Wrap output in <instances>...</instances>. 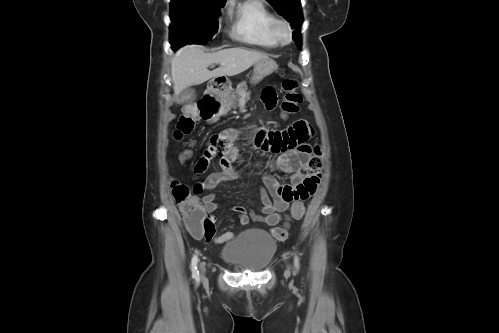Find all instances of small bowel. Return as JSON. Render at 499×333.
Returning <instances> with one entry per match:
<instances>
[{
  "label": "small bowel",
  "mask_w": 499,
  "mask_h": 333,
  "mask_svg": "<svg viewBox=\"0 0 499 333\" xmlns=\"http://www.w3.org/2000/svg\"><path fill=\"white\" fill-rule=\"evenodd\" d=\"M261 97L268 109L275 107L277 97L272 87L264 88ZM312 135L310 123L303 119L295 121L283 130L262 129L253 134L252 141L256 147L277 155L275 167L288 173L290 182L281 184L264 172L262 178L266 189H261L260 214L242 206L234 208L241 225H247L250 220H254L275 226L282 221V213L286 212L293 202H301L314 195L321 180L323 162L320 148L309 143ZM237 136L238 132L231 129L212 136L193 168L194 176L199 177L206 172L214 157L219 159L222 173H212L193 187L196 195L205 193L202 203L209 214L217 209L216 196L213 193L216 186L242 177L241 172L234 167V143ZM233 238L232 232H225L215 237L214 242L221 244Z\"/></svg>",
  "instance_id": "1"
}]
</instances>
